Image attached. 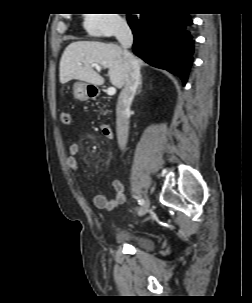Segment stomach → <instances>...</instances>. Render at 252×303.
Returning a JSON list of instances; mask_svg holds the SVG:
<instances>
[{"instance_id":"0dacf381","label":"stomach","mask_w":252,"mask_h":303,"mask_svg":"<svg viewBox=\"0 0 252 303\" xmlns=\"http://www.w3.org/2000/svg\"><path fill=\"white\" fill-rule=\"evenodd\" d=\"M90 86L91 85L83 81L75 82L73 86L74 97L81 101L87 100L89 98L88 88Z\"/></svg>"}]
</instances>
